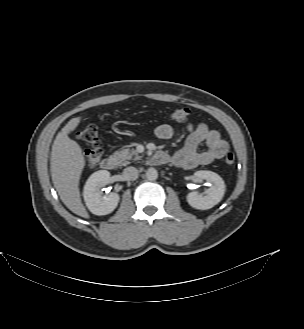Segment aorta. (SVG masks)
Masks as SVG:
<instances>
[{"mask_svg": "<svg viewBox=\"0 0 304 329\" xmlns=\"http://www.w3.org/2000/svg\"><path fill=\"white\" fill-rule=\"evenodd\" d=\"M146 178L149 181H155L158 178V172L155 168L151 167L146 171Z\"/></svg>", "mask_w": 304, "mask_h": 329, "instance_id": "aorta-1", "label": "aorta"}]
</instances>
